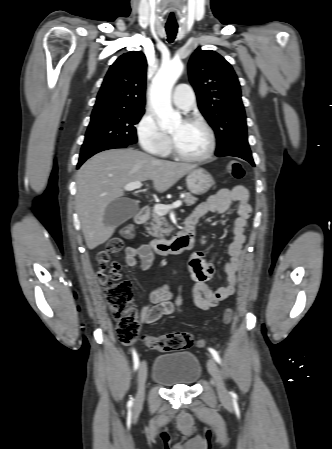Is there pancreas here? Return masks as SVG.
I'll return each instance as SVG.
<instances>
[{
	"label": "pancreas",
	"mask_w": 332,
	"mask_h": 449,
	"mask_svg": "<svg viewBox=\"0 0 332 449\" xmlns=\"http://www.w3.org/2000/svg\"><path fill=\"white\" fill-rule=\"evenodd\" d=\"M197 198L190 193H185L184 202L187 206L195 204ZM152 221L148 223L150 227H147L149 235L157 238H162L164 235H168L171 232L169 224L167 223L163 215L157 214L155 211L151 213Z\"/></svg>",
	"instance_id": "obj_1"
}]
</instances>
